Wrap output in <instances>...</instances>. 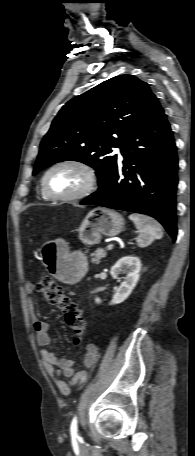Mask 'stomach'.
<instances>
[{
  "label": "stomach",
  "mask_w": 195,
  "mask_h": 456,
  "mask_svg": "<svg viewBox=\"0 0 195 456\" xmlns=\"http://www.w3.org/2000/svg\"><path fill=\"white\" fill-rule=\"evenodd\" d=\"M125 221L118 212L107 208L91 210L78 227L79 239L86 245L100 242L102 235L116 236L124 228ZM44 266L51 275L66 283H75L85 274L88 266L86 255L70 251L62 240L48 241L41 249Z\"/></svg>",
  "instance_id": "stomach-1"
}]
</instances>
